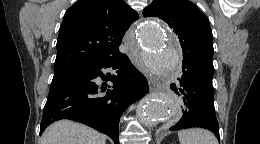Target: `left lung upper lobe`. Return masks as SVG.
Listing matches in <instances>:
<instances>
[{
    "mask_svg": "<svg viewBox=\"0 0 260 144\" xmlns=\"http://www.w3.org/2000/svg\"><path fill=\"white\" fill-rule=\"evenodd\" d=\"M143 15L158 17L174 30L183 49V63H191L213 73L212 31L207 16L194 3L154 0L143 10Z\"/></svg>",
    "mask_w": 260,
    "mask_h": 144,
    "instance_id": "1",
    "label": "left lung upper lobe"
}]
</instances>
